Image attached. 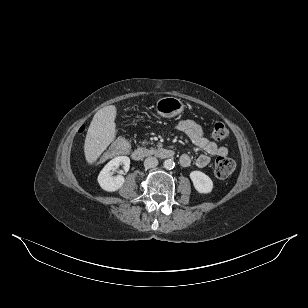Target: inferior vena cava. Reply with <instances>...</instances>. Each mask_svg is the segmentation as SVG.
<instances>
[{
    "label": "inferior vena cava",
    "mask_w": 308,
    "mask_h": 308,
    "mask_svg": "<svg viewBox=\"0 0 308 308\" xmlns=\"http://www.w3.org/2000/svg\"><path fill=\"white\" fill-rule=\"evenodd\" d=\"M158 165V159L156 157H147L144 160V166L145 168H154Z\"/></svg>",
    "instance_id": "602c4592"
}]
</instances>
